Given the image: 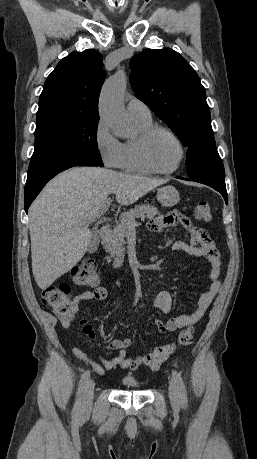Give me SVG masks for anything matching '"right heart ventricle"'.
<instances>
[{
  "label": "right heart ventricle",
  "mask_w": 257,
  "mask_h": 459,
  "mask_svg": "<svg viewBox=\"0 0 257 459\" xmlns=\"http://www.w3.org/2000/svg\"><path fill=\"white\" fill-rule=\"evenodd\" d=\"M137 130L138 136L131 138L122 143V154L118 168L127 173L147 175L152 171L143 163L139 152V136L152 125V120L132 117Z\"/></svg>",
  "instance_id": "obj_1"
}]
</instances>
